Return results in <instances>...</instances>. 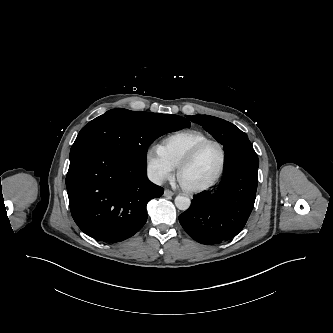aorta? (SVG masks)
I'll return each instance as SVG.
<instances>
[{
  "instance_id": "1",
  "label": "aorta",
  "mask_w": 333,
  "mask_h": 333,
  "mask_svg": "<svg viewBox=\"0 0 333 333\" xmlns=\"http://www.w3.org/2000/svg\"><path fill=\"white\" fill-rule=\"evenodd\" d=\"M175 205L179 210H187L191 205V200L189 197L178 195L175 198Z\"/></svg>"
}]
</instances>
